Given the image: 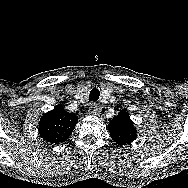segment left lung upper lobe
Here are the masks:
<instances>
[{"label":"left lung upper lobe","instance_id":"obj_1","mask_svg":"<svg viewBox=\"0 0 188 188\" xmlns=\"http://www.w3.org/2000/svg\"><path fill=\"white\" fill-rule=\"evenodd\" d=\"M110 136L118 145L130 144L136 139L137 131L126 110H122L108 125Z\"/></svg>","mask_w":188,"mask_h":188}]
</instances>
